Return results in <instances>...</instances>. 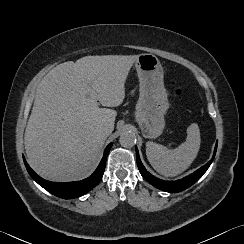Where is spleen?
<instances>
[{"mask_svg":"<svg viewBox=\"0 0 244 244\" xmlns=\"http://www.w3.org/2000/svg\"><path fill=\"white\" fill-rule=\"evenodd\" d=\"M200 131L196 123L187 128V138L176 149L148 141L146 143L147 159L152 167L165 177H175L190 167L200 148Z\"/></svg>","mask_w":244,"mask_h":244,"instance_id":"spleen-1","label":"spleen"}]
</instances>
